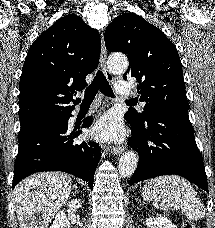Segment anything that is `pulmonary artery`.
I'll use <instances>...</instances> for the list:
<instances>
[{
	"mask_svg": "<svg viewBox=\"0 0 215 228\" xmlns=\"http://www.w3.org/2000/svg\"><path fill=\"white\" fill-rule=\"evenodd\" d=\"M113 89H117V93L119 96H134L136 93L135 84H125V82H114ZM145 106V103H141V107L143 108Z\"/></svg>",
	"mask_w": 215,
	"mask_h": 228,
	"instance_id": "1",
	"label": "pulmonary artery"
}]
</instances>
